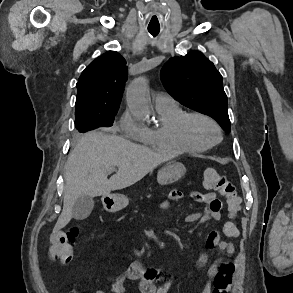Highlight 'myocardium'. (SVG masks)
<instances>
[{"label": "myocardium", "mask_w": 293, "mask_h": 293, "mask_svg": "<svg viewBox=\"0 0 293 293\" xmlns=\"http://www.w3.org/2000/svg\"><path fill=\"white\" fill-rule=\"evenodd\" d=\"M193 119H203V120L209 122L215 128V130L217 132V139L210 142V143H207V144H198V143L194 142L191 139L190 133H189V126H190V123ZM179 133H180L182 140L186 144H188L190 147H192L198 151L207 150V149L213 147L214 145H216L222 139V129H221L219 123L211 116H209L205 113H202V112L186 113L182 117V119L179 123Z\"/></svg>", "instance_id": "myocardium-1"}]
</instances>
